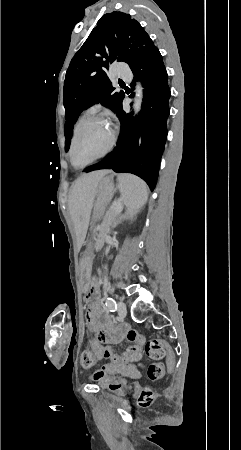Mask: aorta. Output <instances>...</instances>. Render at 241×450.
Listing matches in <instances>:
<instances>
[{"label":"aorta","instance_id":"aorta-1","mask_svg":"<svg viewBox=\"0 0 241 450\" xmlns=\"http://www.w3.org/2000/svg\"><path fill=\"white\" fill-rule=\"evenodd\" d=\"M142 100H143V87L141 86L140 83H138L135 88V98L133 104L134 115H137L141 110Z\"/></svg>","mask_w":241,"mask_h":450}]
</instances>
